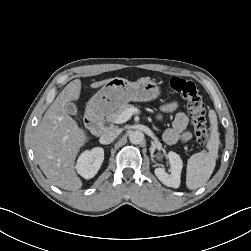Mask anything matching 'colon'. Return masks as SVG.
Here are the masks:
<instances>
[{
    "mask_svg": "<svg viewBox=\"0 0 251 251\" xmlns=\"http://www.w3.org/2000/svg\"><path fill=\"white\" fill-rule=\"evenodd\" d=\"M170 87L186 100L197 142L200 145H206L209 141V133L206 122L205 105L197 86L191 80L173 77L170 80Z\"/></svg>",
    "mask_w": 251,
    "mask_h": 251,
    "instance_id": "obj_1",
    "label": "colon"
}]
</instances>
